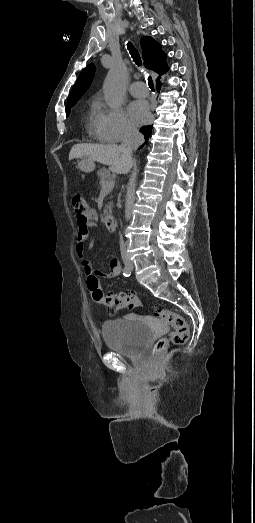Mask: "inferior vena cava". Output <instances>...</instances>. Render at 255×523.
Here are the masks:
<instances>
[{
    "label": "inferior vena cava",
    "instance_id": "1",
    "mask_svg": "<svg viewBox=\"0 0 255 523\" xmlns=\"http://www.w3.org/2000/svg\"><path fill=\"white\" fill-rule=\"evenodd\" d=\"M144 142V136L140 134L139 130L135 126H128L125 132V138L123 140L122 156L123 160H126L128 164H132V154L134 150H137ZM120 252L126 254V246L124 244L123 236L120 234Z\"/></svg>",
    "mask_w": 255,
    "mask_h": 523
}]
</instances>
